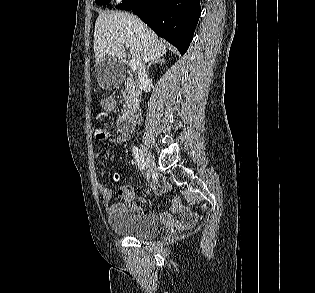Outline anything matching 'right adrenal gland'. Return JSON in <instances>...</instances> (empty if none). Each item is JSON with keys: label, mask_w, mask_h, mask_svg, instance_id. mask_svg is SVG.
<instances>
[{"label": "right adrenal gland", "mask_w": 315, "mask_h": 293, "mask_svg": "<svg viewBox=\"0 0 315 293\" xmlns=\"http://www.w3.org/2000/svg\"><path fill=\"white\" fill-rule=\"evenodd\" d=\"M164 60L163 59H158V60H155V61H150L149 63H148V65H147V73H148V71H149V68L151 67V65L152 64H156V63H158V62H163Z\"/></svg>", "instance_id": "2a0ac1e0"}]
</instances>
